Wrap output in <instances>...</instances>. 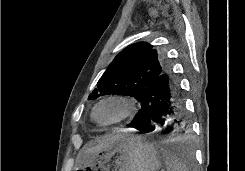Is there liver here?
I'll return each instance as SVG.
<instances>
[{
  "mask_svg": "<svg viewBox=\"0 0 245 171\" xmlns=\"http://www.w3.org/2000/svg\"><path fill=\"white\" fill-rule=\"evenodd\" d=\"M117 137L118 135L103 137L101 140L98 141L97 144L84 148L83 154L89 155L99 152L109 147L116 140Z\"/></svg>",
  "mask_w": 245,
  "mask_h": 171,
  "instance_id": "1",
  "label": "liver"
}]
</instances>
